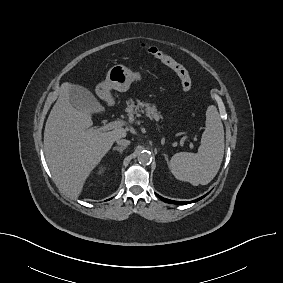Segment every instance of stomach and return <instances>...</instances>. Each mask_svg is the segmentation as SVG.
Segmentation results:
<instances>
[{
	"instance_id": "obj_1",
	"label": "stomach",
	"mask_w": 283,
	"mask_h": 283,
	"mask_svg": "<svg viewBox=\"0 0 283 283\" xmlns=\"http://www.w3.org/2000/svg\"><path fill=\"white\" fill-rule=\"evenodd\" d=\"M141 78L139 72H132L126 66L117 64L109 69L105 81L96 86V93L100 98L112 102L110 90L127 91L134 80Z\"/></svg>"
}]
</instances>
